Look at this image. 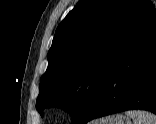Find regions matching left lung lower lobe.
Listing matches in <instances>:
<instances>
[{"mask_svg":"<svg viewBox=\"0 0 156 124\" xmlns=\"http://www.w3.org/2000/svg\"><path fill=\"white\" fill-rule=\"evenodd\" d=\"M133 109L156 114V15L116 61L79 124Z\"/></svg>","mask_w":156,"mask_h":124,"instance_id":"1","label":"left lung lower lobe"}]
</instances>
